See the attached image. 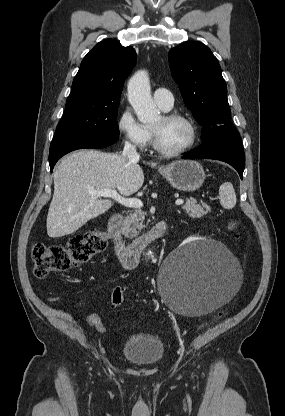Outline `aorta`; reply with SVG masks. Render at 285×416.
Wrapping results in <instances>:
<instances>
[{"instance_id":"762f6f07","label":"aorta","mask_w":285,"mask_h":416,"mask_svg":"<svg viewBox=\"0 0 285 416\" xmlns=\"http://www.w3.org/2000/svg\"><path fill=\"white\" fill-rule=\"evenodd\" d=\"M128 100L140 122L146 124L158 119L159 111L152 100L149 77L146 71L136 72L129 80ZM148 254H151V252Z\"/></svg>"}]
</instances>
